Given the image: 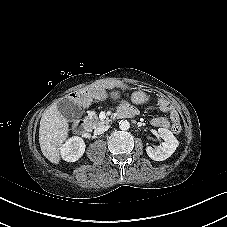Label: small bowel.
<instances>
[{
  "label": "small bowel",
  "instance_id": "1",
  "mask_svg": "<svg viewBox=\"0 0 227 227\" xmlns=\"http://www.w3.org/2000/svg\"><path fill=\"white\" fill-rule=\"evenodd\" d=\"M160 109L163 112H170L172 128H174L175 126H180L179 115L169 102H161ZM119 111H123L125 113H132L133 115L136 113V109L134 107L128 105L126 102L123 101L120 102ZM151 124L157 128H168L170 126L169 121L163 117H154L151 120Z\"/></svg>",
  "mask_w": 227,
  "mask_h": 227
}]
</instances>
